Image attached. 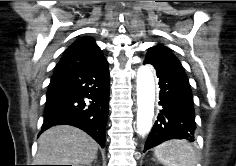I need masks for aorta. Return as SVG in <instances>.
<instances>
[{
	"label": "aorta",
	"instance_id": "1",
	"mask_svg": "<svg viewBox=\"0 0 236 166\" xmlns=\"http://www.w3.org/2000/svg\"><path fill=\"white\" fill-rule=\"evenodd\" d=\"M155 103V82L151 69L141 66L137 72V130L144 136L152 128Z\"/></svg>",
	"mask_w": 236,
	"mask_h": 166
}]
</instances>
